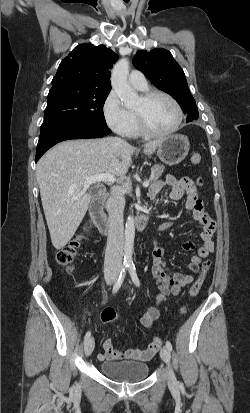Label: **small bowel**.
<instances>
[{
    "instance_id": "small-bowel-1",
    "label": "small bowel",
    "mask_w": 250,
    "mask_h": 413,
    "mask_svg": "<svg viewBox=\"0 0 250 413\" xmlns=\"http://www.w3.org/2000/svg\"><path fill=\"white\" fill-rule=\"evenodd\" d=\"M169 187L168 197L170 200H178L184 194H187L185 202V210L191 215V218L200 222L203 225V230L200 232L201 245L198 248L197 254L193 255L188 263V269L191 272H198L202 259L214 250L212 237L215 231L214 221L207 215L204 206L199 200L192 181L188 177L177 178L173 175H167L164 180H159L153 183L150 187L149 194L151 198H155L164 187ZM172 222H164L158 227V231H163L170 228ZM154 249L152 254L151 271L156 280L160 295L157 298V303L164 301L168 296L177 295L180 290L193 281V276L188 273L172 272L163 260L164 250L159 246L156 239L153 241ZM185 250L194 248L193 242H187L183 245ZM159 317V310L156 307L149 308L141 318V324L145 328H151L154 322ZM103 352L98 354V359L103 360H138L148 361L158 351L151 344L142 349H127L115 350L111 340L106 339L103 342Z\"/></svg>"
}]
</instances>
